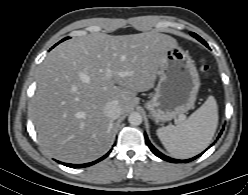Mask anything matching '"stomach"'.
I'll return each mask as SVG.
<instances>
[{
	"label": "stomach",
	"instance_id": "obj_1",
	"mask_svg": "<svg viewBox=\"0 0 248 195\" xmlns=\"http://www.w3.org/2000/svg\"><path fill=\"white\" fill-rule=\"evenodd\" d=\"M158 75L155 93L145 104L156 123L170 121L189 111L200 86L194 61L179 46L166 51Z\"/></svg>",
	"mask_w": 248,
	"mask_h": 195
}]
</instances>
